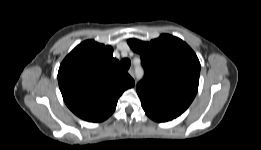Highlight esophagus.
Masks as SVG:
<instances>
[{
  "label": "esophagus",
  "instance_id": "esophagus-1",
  "mask_svg": "<svg viewBox=\"0 0 261 150\" xmlns=\"http://www.w3.org/2000/svg\"><path fill=\"white\" fill-rule=\"evenodd\" d=\"M128 73H129V75H130L131 77L134 78L135 74H134V69H133V68H130V69L128 70Z\"/></svg>",
  "mask_w": 261,
  "mask_h": 150
}]
</instances>
